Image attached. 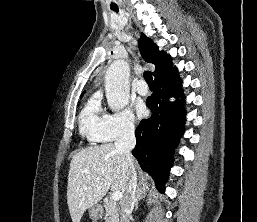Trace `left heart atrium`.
<instances>
[{
	"label": "left heart atrium",
	"instance_id": "left-heart-atrium-1",
	"mask_svg": "<svg viewBox=\"0 0 257 222\" xmlns=\"http://www.w3.org/2000/svg\"><path fill=\"white\" fill-rule=\"evenodd\" d=\"M136 112L139 118H142L146 115V107L142 102L136 104Z\"/></svg>",
	"mask_w": 257,
	"mask_h": 222
}]
</instances>
